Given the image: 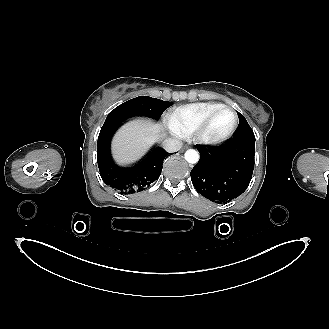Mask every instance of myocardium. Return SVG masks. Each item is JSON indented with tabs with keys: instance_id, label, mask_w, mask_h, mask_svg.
<instances>
[{
	"instance_id": "obj_1",
	"label": "myocardium",
	"mask_w": 329,
	"mask_h": 329,
	"mask_svg": "<svg viewBox=\"0 0 329 329\" xmlns=\"http://www.w3.org/2000/svg\"><path fill=\"white\" fill-rule=\"evenodd\" d=\"M223 110H231L234 114V123L232 128L228 133L220 137H210L206 134V131L211 124L214 117ZM239 124V115L238 112L232 106L223 105L212 111L194 130L193 137L194 139L201 144L214 145L229 139L236 131Z\"/></svg>"
}]
</instances>
